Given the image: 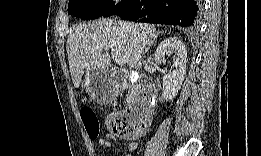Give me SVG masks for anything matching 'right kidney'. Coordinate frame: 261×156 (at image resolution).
<instances>
[{
	"label": "right kidney",
	"instance_id": "1",
	"mask_svg": "<svg viewBox=\"0 0 261 156\" xmlns=\"http://www.w3.org/2000/svg\"><path fill=\"white\" fill-rule=\"evenodd\" d=\"M173 56L172 72L163 77V100H172L181 88L186 75L187 51L185 44L177 37H170L163 40L158 46L154 59L158 64L166 62L165 56Z\"/></svg>",
	"mask_w": 261,
	"mask_h": 156
}]
</instances>
